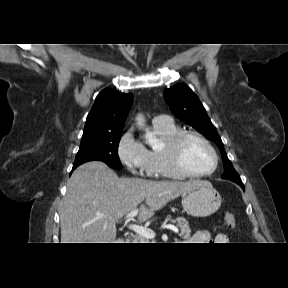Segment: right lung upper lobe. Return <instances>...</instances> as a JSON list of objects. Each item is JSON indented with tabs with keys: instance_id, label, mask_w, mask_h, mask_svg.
I'll list each match as a JSON object with an SVG mask.
<instances>
[{
	"instance_id": "1",
	"label": "right lung upper lobe",
	"mask_w": 288,
	"mask_h": 288,
	"mask_svg": "<svg viewBox=\"0 0 288 288\" xmlns=\"http://www.w3.org/2000/svg\"><path fill=\"white\" fill-rule=\"evenodd\" d=\"M132 101V94L109 88L100 92L87 116L81 141L122 132Z\"/></svg>"
}]
</instances>
